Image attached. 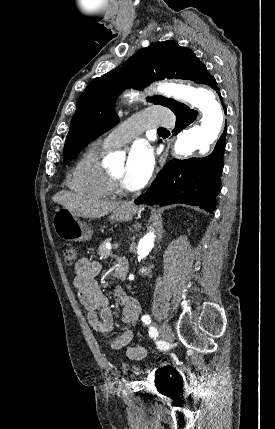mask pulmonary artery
Returning <instances> with one entry per match:
<instances>
[{
  "label": "pulmonary artery",
  "instance_id": "obj_1",
  "mask_svg": "<svg viewBox=\"0 0 275 429\" xmlns=\"http://www.w3.org/2000/svg\"><path fill=\"white\" fill-rule=\"evenodd\" d=\"M174 123V116L161 108H150L132 116L125 125L111 131L102 144L107 148H116L124 145L136 137L144 128L167 127Z\"/></svg>",
  "mask_w": 275,
  "mask_h": 429
}]
</instances>
